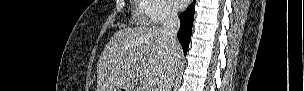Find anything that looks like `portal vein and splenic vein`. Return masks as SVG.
Masks as SVG:
<instances>
[{"mask_svg": "<svg viewBox=\"0 0 304 91\" xmlns=\"http://www.w3.org/2000/svg\"><path fill=\"white\" fill-rule=\"evenodd\" d=\"M157 83H158L157 78L150 77V78L148 79V85L151 86V87H152V86H155Z\"/></svg>", "mask_w": 304, "mask_h": 91, "instance_id": "obj_1", "label": "portal vein and splenic vein"}]
</instances>
